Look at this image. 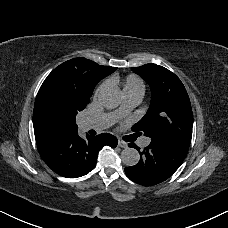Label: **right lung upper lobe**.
Segmentation results:
<instances>
[{
  "mask_svg": "<svg viewBox=\"0 0 228 228\" xmlns=\"http://www.w3.org/2000/svg\"><path fill=\"white\" fill-rule=\"evenodd\" d=\"M115 70L116 67L101 66L85 58H74L56 67L43 82L35 100L33 126L36 142L77 131L76 123L49 112L46 99L51 91H58L69 103L84 109L96 84Z\"/></svg>",
  "mask_w": 228,
  "mask_h": 228,
  "instance_id": "right-lung-upper-lobe-1",
  "label": "right lung upper lobe"
}]
</instances>
